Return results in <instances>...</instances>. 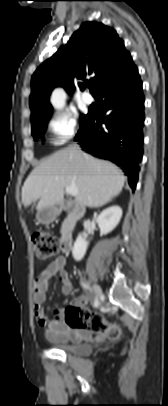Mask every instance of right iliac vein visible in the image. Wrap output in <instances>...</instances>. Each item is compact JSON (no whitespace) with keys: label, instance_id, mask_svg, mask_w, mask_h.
I'll return each mask as SVG.
<instances>
[{"label":"right iliac vein","instance_id":"obj_1","mask_svg":"<svg viewBox=\"0 0 168 406\" xmlns=\"http://www.w3.org/2000/svg\"><path fill=\"white\" fill-rule=\"evenodd\" d=\"M94 293L97 297L102 296V289L98 284L93 285Z\"/></svg>","mask_w":168,"mask_h":406}]
</instances>
